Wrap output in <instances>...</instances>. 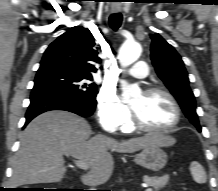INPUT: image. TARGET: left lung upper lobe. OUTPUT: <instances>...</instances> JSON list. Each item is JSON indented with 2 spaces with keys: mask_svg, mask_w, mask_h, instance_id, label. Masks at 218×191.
I'll use <instances>...</instances> for the list:
<instances>
[{
  "mask_svg": "<svg viewBox=\"0 0 218 191\" xmlns=\"http://www.w3.org/2000/svg\"><path fill=\"white\" fill-rule=\"evenodd\" d=\"M151 59L159 78L179 102L190 122L201 131L196 102L181 56L159 34L151 35Z\"/></svg>",
  "mask_w": 218,
  "mask_h": 191,
  "instance_id": "5c2ea615",
  "label": "left lung upper lobe"
}]
</instances>
